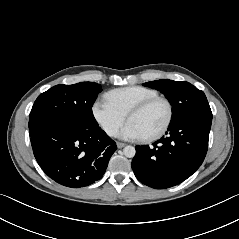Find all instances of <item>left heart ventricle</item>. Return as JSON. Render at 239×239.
I'll use <instances>...</instances> for the list:
<instances>
[{"mask_svg": "<svg viewBox=\"0 0 239 239\" xmlns=\"http://www.w3.org/2000/svg\"><path fill=\"white\" fill-rule=\"evenodd\" d=\"M167 114L166 104L158 101L145 111L132 116L128 122L134 124L144 137L156 132L164 124Z\"/></svg>", "mask_w": 239, "mask_h": 239, "instance_id": "1", "label": "left heart ventricle"}]
</instances>
